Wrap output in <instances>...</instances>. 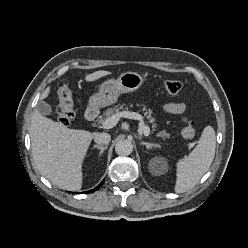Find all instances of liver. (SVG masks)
Listing matches in <instances>:
<instances>
[{"label": "liver", "mask_w": 248, "mask_h": 248, "mask_svg": "<svg viewBox=\"0 0 248 248\" xmlns=\"http://www.w3.org/2000/svg\"><path fill=\"white\" fill-rule=\"evenodd\" d=\"M111 74L96 71L87 82ZM46 88L41 99L48 97ZM31 152L38 171L59 188L76 191L82 186V163L95 135L86 130L69 129L35 110L30 125Z\"/></svg>", "instance_id": "obj_1"}]
</instances>
